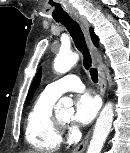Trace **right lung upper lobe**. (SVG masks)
Here are the masks:
<instances>
[{"label": "right lung upper lobe", "instance_id": "right-lung-upper-lobe-1", "mask_svg": "<svg viewBox=\"0 0 130 153\" xmlns=\"http://www.w3.org/2000/svg\"><path fill=\"white\" fill-rule=\"evenodd\" d=\"M90 33H91V38L94 42V44L96 46H98V38L97 36L94 34L93 32V29L90 30ZM40 78H41V69H39L38 73L36 74L33 82H32V85L30 87V90H29V93L27 95V100L26 102H29V100L31 99L33 93L35 92L36 88L38 87L39 83H40Z\"/></svg>", "mask_w": 130, "mask_h": 153}]
</instances>
